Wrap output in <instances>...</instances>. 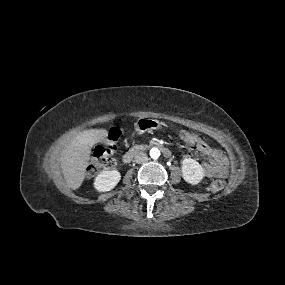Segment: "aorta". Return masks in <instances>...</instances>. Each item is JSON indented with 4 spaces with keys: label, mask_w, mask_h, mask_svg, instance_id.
<instances>
[{
    "label": "aorta",
    "mask_w": 285,
    "mask_h": 285,
    "mask_svg": "<svg viewBox=\"0 0 285 285\" xmlns=\"http://www.w3.org/2000/svg\"><path fill=\"white\" fill-rule=\"evenodd\" d=\"M149 155L152 159H158L160 157V150L158 148H152L149 151Z\"/></svg>",
    "instance_id": "762f6f07"
}]
</instances>
